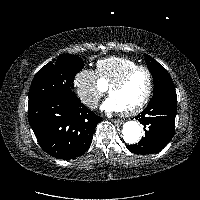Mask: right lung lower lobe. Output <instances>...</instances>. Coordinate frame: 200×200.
<instances>
[{"instance_id": "1", "label": "right lung lower lobe", "mask_w": 200, "mask_h": 200, "mask_svg": "<svg viewBox=\"0 0 200 200\" xmlns=\"http://www.w3.org/2000/svg\"><path fill=\"white\" fill-rule=\"evenodd\" d=\"M28 119L42 149L53 157L69 160L86 152L102 118L75 96L31 99Z\"/></svg>"}]
</instances>
